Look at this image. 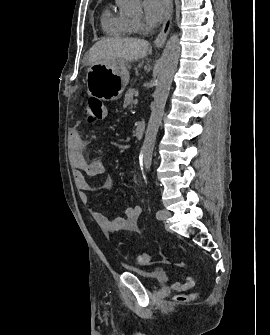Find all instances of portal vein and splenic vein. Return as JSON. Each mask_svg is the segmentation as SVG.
<instances>
[{
  "label": "portal vein and splenic vein",
  "instance_id": "18ae733b",
  "mask_svg": "<svg viewBox=\"0 0 270 335\" xmlns=\"http://www.w3.org/2000/svg\"><path fill=\"white\" fill-rule=\"evenodd\" d=\"M138 102H139V101L137 100V98H134L133 104L136 105V104H138Z\"/></svg>",
  "mask_w": 270,
  "mask_h": 335
}]
</instances>
